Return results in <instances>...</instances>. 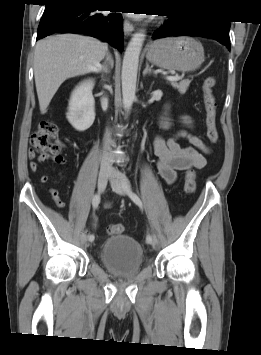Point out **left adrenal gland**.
<instances>
[{
    "instance_id": "left-adrenal-gland-1",
    "label": "left adrenal gland",
    "mask_w": 261,
    "mask_h": 355,
    "mask_svg": "<svg viewBox=\"0 0 261 355\" xmlns=\"http://www.w3.org/2000/svg\"><path fill=\"white\" fill-rule=\"evenodd\" d=\"M154 73V71L149 67L148 62H146V67L143 71V76L147 75V74H152Z\"/></svg>"
}]
</instances>
